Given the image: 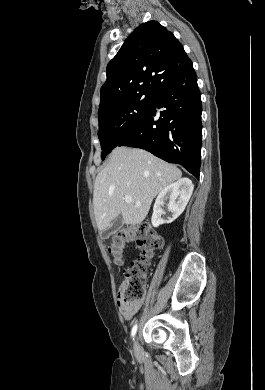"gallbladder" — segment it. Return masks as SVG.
<instances>
[{
	"mask_svg": "<svg viewBox=\"0 0 265 390\" xmlns=\"http://www.w3.org/2000/svg\"><path fill=\"white\" fill-rule=\"evenodd\" d=\"M123 224L124 221L122 215L117 216L110 224V226L104 231L105 238H109L110 236L116 234L123 226Z\"/></svg>",
	"mask_w": 265,
	"mask_h": 390,
	"instance_id": "gallbladder-1",
	"label": "gallbladder"
}]
</instances>
